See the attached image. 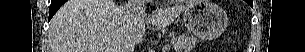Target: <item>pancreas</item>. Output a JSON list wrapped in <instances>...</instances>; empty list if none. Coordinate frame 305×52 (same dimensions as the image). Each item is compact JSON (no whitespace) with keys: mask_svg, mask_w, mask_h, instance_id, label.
I'll list each match as a JSON object with an SVG mask.
<instances>
[{"mask_svg":"<svg viewBox=\"0 0 305 52\" xmlns=\"http://www.w3.org/2000/svg\"><path fill=\"white\" fill-rule=\"evenodd\" d=\"M171 43L176 52H190L198 43L197 39L189 35H179L173 37Z\"/></svg>","mask_w":305,"mask_h":52,"instance_id":"obj_1","label":"pancreas"}]
</instances>
